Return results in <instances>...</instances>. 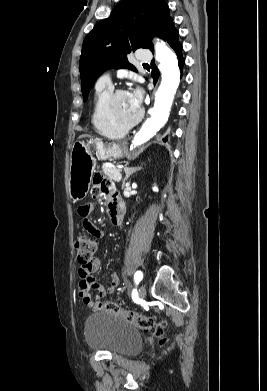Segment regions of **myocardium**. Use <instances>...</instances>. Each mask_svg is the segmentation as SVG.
Instances as JSON below:
<instances>
[{"instance_id": "1", "label": "myocardium", "mask_w": 267, "mask_h": 391, "mask_svg": "<svg viewBox=\"0 0 267 391\" xmlns=\"http://www.w3.org/2000/svg\"><path fill=\"white\" fill-rule=\"evenodd\" d=\"M125 93H127V91L124 89H116L112 91L106 101V112L113 124H115L117 127L122 128L124 130H129L132 127L136 126L141 121L143 117V111L140 110L138 115L129 122H122L121 120H119L114 111V103L118 96Z\"/></svg>"}]
</instances>
